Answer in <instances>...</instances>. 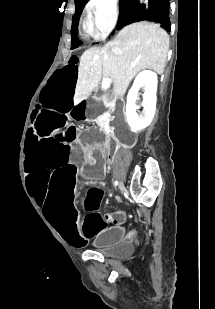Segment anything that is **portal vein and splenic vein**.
<instances>
[{
  "instance_id": "1",
  "label": "portal vein and splenic vein",
  "mask_w": 215,
  "mask_h": 309,
  "mask_svg": "<svg viewBox=\"0 0 215 309\" xmlns=\"http://www.w3.org/2000/svg\"><path fill=\"white\" fill-rule=\"evenodd\" d=\"M112 80L111 78H104L103 82H102V88H108V86H110Z\"/></svg>"
}]
</instances>
